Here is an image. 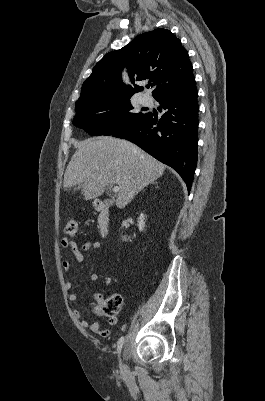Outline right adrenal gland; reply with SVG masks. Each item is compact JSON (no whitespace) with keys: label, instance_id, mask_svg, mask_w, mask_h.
I'll return each mask as SVG.
<instances>
[{"label":"right adrenal gland","instance_id":"right-adrenal-gland-1","mask_svg":"<svg viewBox=\"0 0 265 401\" xmlns=\"http://www.w3.org/2000/svg\"><path fill=\"white\" fill-rule=\"evenodd\" d=\"M151 184H156V182H151Z\"/></svg>","mask_w":265,"mask_h":401}]
</instances>
